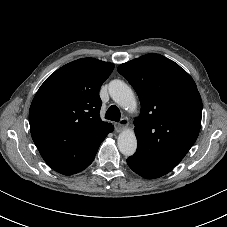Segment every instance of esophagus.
Segmentation results:
<instances>
[{
  "label": "esophagus",
  "mask_w": 227,
  "mask_h": 227,
  "mask_svg": "<svg viewBox=\"0 0 227 227\" xmlns=\"http://www.w3.org/2000/svg\"><path fill=\"white\" fill-rule=\"evenodd\" d=\"M129 125V121L127 118H122L119 122L115 124V130L117 132L122 131L124 128H126Z\"/></svg>",
  "instance_id": "esophagus-1"
}]
</instances>
